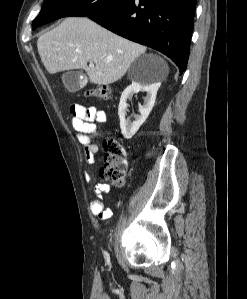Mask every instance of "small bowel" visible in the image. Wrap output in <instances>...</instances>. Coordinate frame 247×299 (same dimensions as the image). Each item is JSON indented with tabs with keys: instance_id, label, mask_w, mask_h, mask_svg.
I'll list each match as a JSON object with an SVG mask.
<instances>
[{
	"instance_id": "c3829d8e",
	"label": "small bowel",
	"mask_w": 247,
	"mask_h": 299,
	"mask_svg": "<svg viewBox=\"0 0 247 299\" xmlns=\"http://www.w3.org/2000/svg\"><path fill=\"white\" fill-rule=\"evenodd\" d=\"M72 114V127L77 133V138L85 146L84 156L86 161L93 165L96 162V154L99 147L93 142V136L98 132L99 123L107 121V114L94 106L85 107L79 104L72 105L70 108ZM87 181L91 180V175L85 173ZM110 187L107 183L100 182L95 185L94 191L96 198L91 202V211L101 220H107L112 216V210L106 208L103 202V195L108 193Z\"/></svg>"
}]
</instances>
